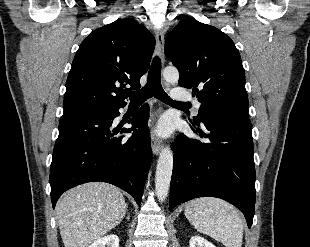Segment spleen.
<instances>
[{
  "mask_svg": "<svg viewBox=\"0 0 310 247\" xmlns=\"http://www.w3.org/2000/svg\"><path fill=\"white\" fill-rule=\"evenodd\" d=\"M194 228L221 242L226 247H241L243 221L238 211L228 202L213 197L190 201L184 210Z\"/></svg>",
  "mask_w": 310,
  "mask_h": 247,
  "instance_id": "spleen-1",
  "label": "spleen"
}]
</instances>
